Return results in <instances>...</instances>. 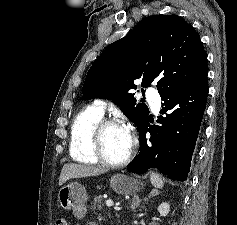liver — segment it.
Returning a JSON list of instances; mask_svg holds the SVG:
<instances>
[{"label": "liver", "mask_w": 237, "mask_h": 225, "mask_svg": "<svg viewBox=\"0 0 237 225\" xmlns=\"http://www.w3.org/2000/svg\"><path fill=\"white\" fill-rule=\"evenodd\" d=\"M105 168L96 166H87L81 164H65L59 177V185L62 186L67 180L72 178H82L88 176H97L105 173Z\"/></svg>", "instance_id": "6515ba94"}]
</instances>
